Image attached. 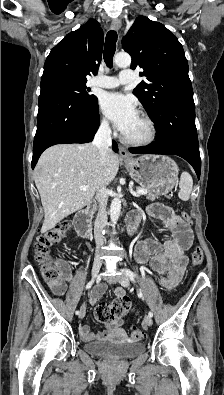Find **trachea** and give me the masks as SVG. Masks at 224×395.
Returning a JSON list of instances; mask_svg holds the SVG:
<instances>
[{"instance_id":"3493384b","label":"trachea","mask_w":224,"mask_h":395,"mask_svg":"<svg viewBox=\"0 0 224 395\" xmlns=\"http://www.w3.org/2000/svg\"><path fill=\"white\" fill-rule=\"evenodd\" d=\"M117 33L115 30H110L106 35L105 47L103 58L107 67L111 68L113 66V56L116 50Z\"/></svg>"}]
</instances>
